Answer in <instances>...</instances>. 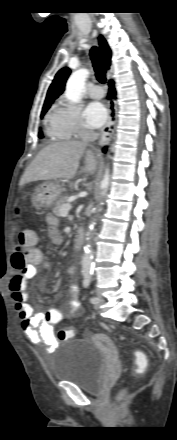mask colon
Masks as SVG:
<instances>
[{
	"mask_svg": "<svg viewBox=\"0 0 177 440\" xmlns=\"http://www.w3.org/2000/svg\"><path fill=\"white\" fill-rule=\"evenodd\" d=\"M37 241V236L32 230H20L16 234L13 243L12 265L19 270L26 268L37 257V250L34 245ZM74 331L71 327H65L59 330L57 339L59 341H67L72 339ZM139 361L142 362L140 356Z\"/></svg>",
	"mask_w": 177,
	"mask_h": 440,
	"instance_id": "colon-1",
	"label": "colon"
}]
</instances>
